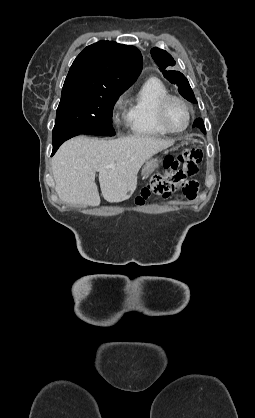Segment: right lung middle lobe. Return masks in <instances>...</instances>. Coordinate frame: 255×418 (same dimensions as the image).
<instances>
[{
    "label": "right lung middle lobe",
    "instance_id": "1",
    "mask_svg": "<svg viewBox=\"0 0 255 418\" xmlns=\"http://www.w3.org/2000/svg\"><path fill=\"white\" fill-rule=\"evenodd\" d=\"M125 90L63 86L52 139L68 135L114 136L113 106Z\"/></svg>",
    "mask_w": 255,
    "mask_h": 418
}]
</instances>
